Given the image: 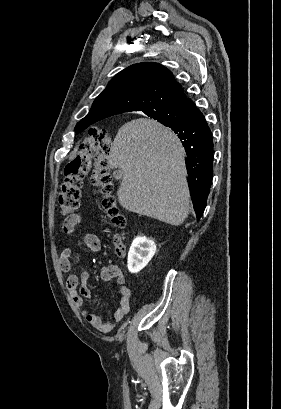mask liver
<instances>
[{"mask_svg": "<svg viewBox=\"0 0 281 409\" xmlns=\"http://www.w3.org/2000/svg\"><path fill=\"white\" fill-rule=\"evenodd\" d=\"M121 168L120 205L168 225H182L190 192L183 146L176 134L153 118H134L119 128L107 156Z\"/></svg>", "mask_w": 281, "mask_h": 409, "instance_id": "obj_1", "label": "liver"}]
</instances>
